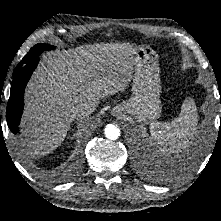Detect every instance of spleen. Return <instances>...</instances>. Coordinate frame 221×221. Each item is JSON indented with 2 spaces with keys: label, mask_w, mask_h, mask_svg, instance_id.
Masks as SVG:
<instances>
[{
  "label": "spleen",
  "mask_w": 221,
  "mask_h": 221,
  "mask_svg": "<svg viewBox=\"0 0 221 221\" xmlns=\"http://www.w3.org/2000/svg\"><path fill=\"white\" fill-rule=\"evenodd\" d=\"M197 108L193 99L187 98L178 117L169 122H152L150 136L159 151L169 156L187 149L198 132Z\"/></svg>",
  "instance_id": "3e777b00"
}]
</instances>
